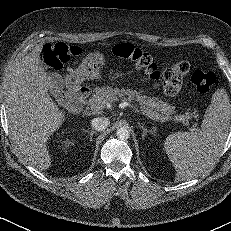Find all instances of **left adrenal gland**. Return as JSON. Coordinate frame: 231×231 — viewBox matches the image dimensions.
Wrapping results in <instances>:
<instances>
[{
	"instance_id": "a2214340",
	"label": "left adrenal gland",
	"mask_w": 231,
	"mask_h": 231,
	"mask_svg": "<svg viewBox=\"0 0 231 231\" xmlns=\"http://www.w3.org/2000/svg\"><path fill=\"white\" fill-rule=\"evenodd\" d=\"M138 126L140 129H142L143 131V134H142V137L144 138L147 133H153L151 130H148L146 127H144L143 125H141L140 123H138Z\"/></svg>"
}]
</instances>
